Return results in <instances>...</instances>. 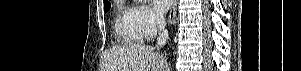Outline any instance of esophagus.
Returning <instances> with one entry per match:
<instances>
[{"instance_id": "1", "label": "esophagus", "mask_w": 301, "mask_h": 71, "mask_svg": "<svg viewBox=\"0 0 301 71\" xmlns=\"http://www.w3.org/2000/svg\"><path fill=\"white\" fill-rule=\"evenodd\" d=\"M177 3L178 0L173 1V5L169 14V24L172 25L175 23V15H176V10H177Z\"/></svg>"}]
</instances>
